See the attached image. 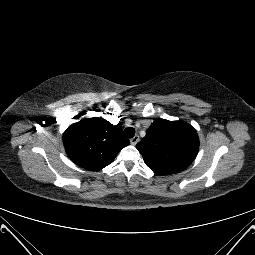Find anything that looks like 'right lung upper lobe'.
<instances>
[{
	"label": "right lung upper lobe",
	"instance_id": "obj_1",
	"mask_svg": "<svg viewBox=\"0 0 255 255\" xmlns=\"http://www.w3.org/2000/svg\"><path fill=\"white\" fill-rule=\"evenodd\" d=\"M65 150L78 166L97 171L106 167L129 140L123 138L122 127L103 118L82 119L72 124L63 135Z\"/></svg>",
	"mask_w": 255,
	"mask_h": 255
}]
</instances>
